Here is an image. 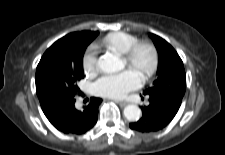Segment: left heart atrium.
I'll return each instance as SVG.
<instances>
[{"instance_id":"obj_1","label":"left heart atrium","mask_w":225,"mask_h":155,"mask_svg":"<svg viewBox=\"0 0 225 155\" xmlns=\"http://www.w3.org/2000/svg\"><path fill=\"white\" fill-rule=\"evenodd\" d=\"M142 78L133 69H127L119 73L104 75L93 85L95 94L110 98H122L128 92L140 87Z\"/></svg>"}]
</instances>
